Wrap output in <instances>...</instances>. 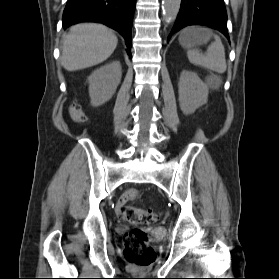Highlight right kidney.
<instances>
[{
  "label": "right kidney",
  "mask_w": 279,
  "mask_h": 279,
  "mask_svg": "<svg viewBox=\"0 0 279 279\" xmlns=\"http://www.w3.org/2000/svg\"><path fill=\"white\" fill-rule=\"evenodd\" d=\"M122 77L119 61H112L95 70L89 77V96L94 107L106 103L112 98Z\"/></svg>",
  "instance_id": "obj_1"
}]
</instances>
